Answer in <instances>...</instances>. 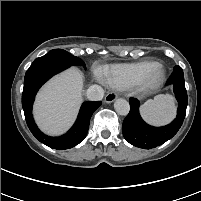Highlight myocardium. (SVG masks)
Masks as SVG:
<instances>
[{"label": "myocardium", "mask_w": 201, "mask_h": 201, "mask_svg": "<svg viewBox=\"0 0 201 201\" xmlns=\"http://www.w3.org/2000/svg\"><path fill=\"white\" fill-rule=\"evenodd\" d=\"M166 76V69L164 65L155 63L142 77L139 82L143 89H154L158 87Z\"/></svg>", "instance_id": "obj_1"}]
</instances>
